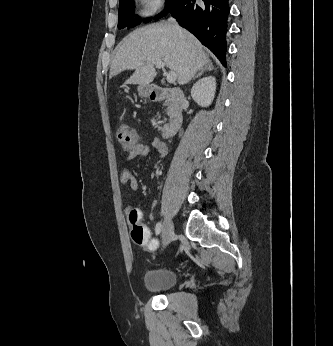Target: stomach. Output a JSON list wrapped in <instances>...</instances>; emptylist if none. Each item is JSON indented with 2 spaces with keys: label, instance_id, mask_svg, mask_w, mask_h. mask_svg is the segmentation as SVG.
<instances>
[{
  "label": "stomach",
  "instance_id": "0dacf381",
  "mask_svg": "<svg viewBox=\"0 0 333 346\" xmlns=\"http://www.w3.org/2000/svg\"><path fill=\"white\" fill-rule=\"evenodd\" d=\"M149 93V86H138V94L140 97H148Z\"/></svg>",
  "mask_w": 333,
  "mask_h": 346
}]
</instances>
